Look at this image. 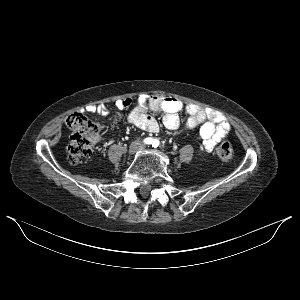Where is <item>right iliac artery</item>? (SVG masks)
<instances>
[{
  "label": "right iliac artery",
  "instance_id": "obj_1",
  "mask_svg": "<svg viewBox=\"0 0 300 300\" xmlns=\"http://www.w3.org/2000/svg\"><path fill=\"white\" fill-rule=\"evenodd\" d=\"M153 139L152 138H145L144 140H143V142H144V144H146V145H150V144H153Z\"/></svg>",
  "mask_w": 300,
  "mask_h": 300
}]
</instances>
